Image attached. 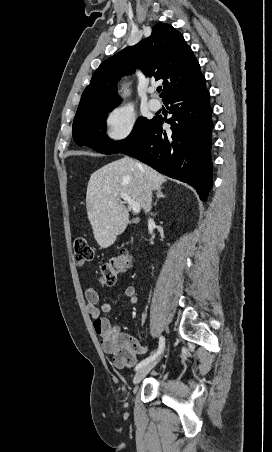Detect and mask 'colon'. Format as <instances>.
I'll use <instances>...</instances> for the list:
<instances>
[{
	"instance_id": "1",
	"label": "colon",
	"mask_w": 272,
	"mask_h": 452,
	"mask_svg": "<svg viewBox=\"0 0 272 452\" xmlns=\"http://www.w3.org/2000/svg\"><path fill=\"white\" fill-rule=\"evenodd\" d=\"M74 263L76 266H84L94 260V250L85 239H76L74 242ZM130 261L127 253L113 255L102 264L100 268V281L105 286L116 284L119 275L126 272ZM107 348L113 354V362L120 368H131L136 363L135 354L138 353L137 342L126 338L123 334L110 337Z\"/></svg>"
}]
</instances>
